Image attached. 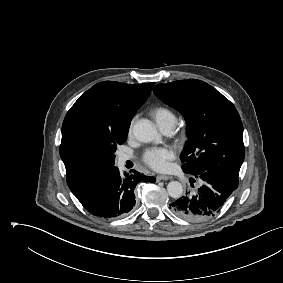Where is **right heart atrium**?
Returning a JSON list of instances; mask_svg holds the SVG:
<instances>
[{
	"label": "right heart atrium",
	"mask_w": 283,
	"mask_h": 283,
	"mask_svg": "<svg viewBox=\"0 0 283 283\" xmlns=\"http://www.w3.org/2000/svg\"><path fill=\"white\" fill-rule=\"evenodd\" d=\"M129 133H131V126H130V128H129Z\"/></svg>",
	"instance_id": "obj_1"
}]
</instances>
